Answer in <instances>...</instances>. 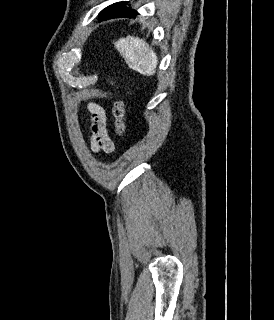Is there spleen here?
<instances>
[{
    "label": "spleen",
    "mask_w": 274,
    "mask_h": 320,
    "mask_svg": "<svg viewBox=\"0 0 274 320\" xmlns=\"http://www.w3.org/2000/svg\"><path fill=\"white\" fill-rule=\"evenodd\" d=\"M114 46L131 70H136L143 76H154L158 64L157 54L144 40L127 36L120 38Z\"/></svg>",
    "instance_id": "spleen-1"
}]
</instances>
